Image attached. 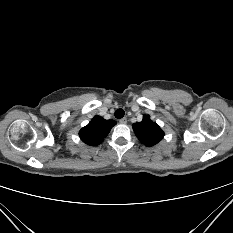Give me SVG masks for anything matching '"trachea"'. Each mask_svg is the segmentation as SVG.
<instances>
[{"label": "trachea", "instance_id": "trachea-1", "mask_svg": "<svg viewBox=\"0 0 233 233\" xmlns=\"http://www.w3.org/2000/svg\"><path fill=\"white\" fill-rule=\"evenodd\" d=\"M125 115V112H124V110L123 109H117L116 111H115V117L117 118V119H120V118H122L123 116Z\"/></svg>", "mask_w": 233, "mask_h": 233}]
</instances>
